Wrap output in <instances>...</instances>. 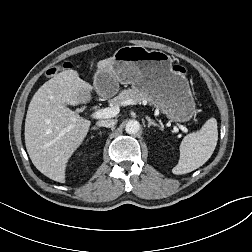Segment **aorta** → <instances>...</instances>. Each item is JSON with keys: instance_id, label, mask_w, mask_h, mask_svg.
Masks as SVG:
<instances>
[{"instance_id": "obj_1", "label": "aorta", "mask_w": 252, "mask_h": 252, "mask_svg": "<svg viewBox=\"0 0 252 252\" xmlns=\"http://www.w3.org/2000/svg\"><path fill=\"white\" fill-rule=\"evenodd\" d=\"M140 129V123L137 120H130L127 122L125 131L128 134H136Z\"/></svg>"}]
</instances>
